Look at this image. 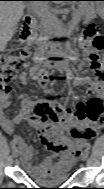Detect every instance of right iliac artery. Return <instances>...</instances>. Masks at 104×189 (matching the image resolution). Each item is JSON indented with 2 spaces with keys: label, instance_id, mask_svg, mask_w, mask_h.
Returning a JSON list of instances; mask_svg holds the SVG:
<instances>
[{
  "label": "right iliac artery",
  "instance_id": "82829eb1",
  "mask_svg": "<svg viewBox=\"0 0 104 189\" xmlns=\"http://www.w3.org/2000/svg\"><path fill=\"white\" fill-rule=\"evenodd\" d=\"M12 148L15 149V144L14 143H12Z\"/></svg>",
  "mask_w": 104,
  "mask_h": 189
}]
</instances>
